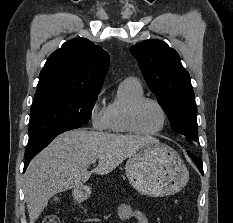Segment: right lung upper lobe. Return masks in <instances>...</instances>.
Masks as SVG:
<instances>
[{
    "instance_id": "right-lung-upper-lobe-1",
    "label": "right lung upper lobe",
    "mask_w": 233,
    "mask_h": 223,
    "mask_svg": "<svg viewBox=\"0 0 233 223\" xmlns=\"http://www.w3.org/2000/svg\"><path fill=\"white\" fill-rule=\"evenodd\" d=\"M109 55L88 39L65 42L47 59L35 96L49 92L100 93Z\"/></svg>"
}]
</instances>
